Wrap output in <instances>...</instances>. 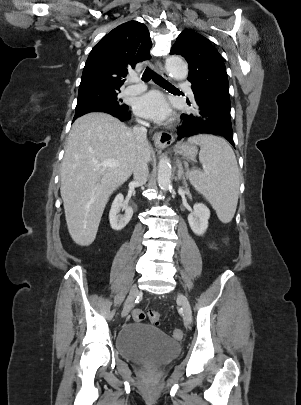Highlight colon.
Instances as JSON below:
<instances>
[{"mask_svg":"<svg viewBox=\"0 0 301 405\" xmlns=\"http://www.w3.org/2000/svg\"><path fill=\"white\" fill-rule=\"evenodd\" d=\"M132 317L135 321L141 322L146 318V313L141 309H135L133 311ZM148 318L153 324H159L161 315L158 311H150L148 313ZM172 336L175 339H181L183 337V332L180 329H174L172 332Z\"/></svg>","mask_w":301,"mask_h":405,"instance_id":"1","label":"colon"}]
</instances>
